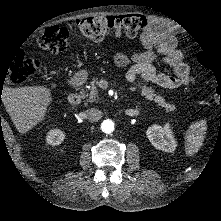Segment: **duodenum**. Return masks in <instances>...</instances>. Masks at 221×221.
Returning <instances> with one entry per match:
<instances>
[{
	"mask_svg": "<svg viewBox=\"0 0 221 221\" xmlns=\"http://www.w3.org/2000/svg\"><path fill=\"white\" fill-rule=\"evenodd\" d=\"M86 82V75L84 72H77L71 77V85L75 91L71 92L67 96V100L70 104L76 105L84 98L83 87Z\"/></svg>",
	"mask_w": 221,
	"mask_h": 221,
	"instance_id": "obj_1",
	"label": "duodenum"
}]
</instances>
